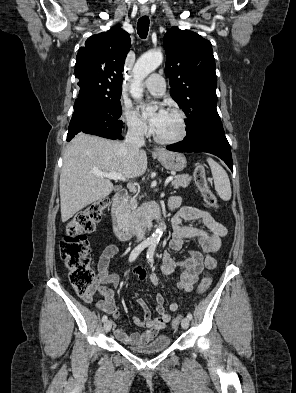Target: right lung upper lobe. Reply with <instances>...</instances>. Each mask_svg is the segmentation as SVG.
<instances>
[{
	"instance_id": "1",
	"label": "right lung upper lobe",
	"mask_w": 296,
	"mask_h": 393,
	"mask_svg": "<svg viewBox=\"0 0 296 393\" xmlns=\"http://www.w3.org/2000/svg\"><path fill=\"white\" fill-rule=\"evenodd\" d=\"M129 48L130 36L119 25L89 37L85 46L79 48L75 77L79 81L97 79L113 88L121 89L122 72Z\"/></svg>"
}]
</instances>
